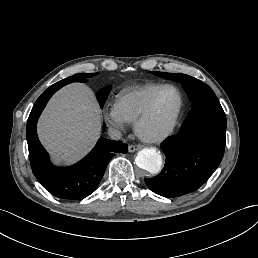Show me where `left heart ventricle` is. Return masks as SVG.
<instances>
[{"label":"left heart ventricle","mask_w":258,"mask_h":258,"mask_svg":"<svg viewBox=\"0 0 258 258\" xmlns=\"http://www.w3.org/2000/svg\"><path fill=\"white\" fill-rule=\"evenodd\" d=\"M177 109V96L167 89L158 94L150 114L142 121L141 131L148 136H157L171 124Z\"/></svg>","instance_id":"obj_1"}]
</instances>
